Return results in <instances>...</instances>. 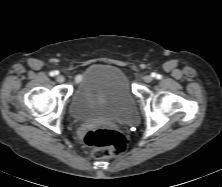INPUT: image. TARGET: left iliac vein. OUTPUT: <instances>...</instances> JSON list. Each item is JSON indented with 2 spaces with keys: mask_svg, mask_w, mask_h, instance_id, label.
Instances as JSON below:
<instances>
[{
  "mask_svg": "<svg viewBox=\"0 0 222 187\" xmlns=\"http://www.w3.org/2000/svg\"><path fill=\"white\" fill-rule=\"evenodd\" d=\"M152 80H153V77L151 75L144 76V81L146 83H150V82H152Z\"/></svg>",
  "mask_w": 222,
  "mask_h": 187,
  "instance_id": "1",
  "label": "left iliac vein"
}]
</instances>
